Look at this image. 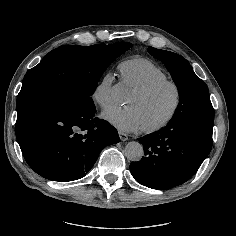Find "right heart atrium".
Returning a JSON list of instances; mask_svg holds the SVG:
<instances>
[{
    "label": "right heart atrium",
    "mask_w": 236,
    "mask_h": 236,
    "mask_svg": "<svg viewBox=\"0 0 236 236\" xmlns=\"http://www.w3.org/2000/svg\"><path fill=\"white\" fill-rule=\"evenodd\" d=\"M115 88V75L108 71L99 82L94 86L91 92V98L102 109L107 110L115 103L112 91Z\"/></svg>",
    "instance_id": "1"
}]
</instances>
